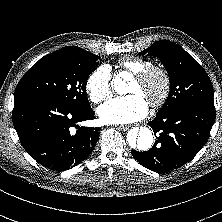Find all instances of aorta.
Listing matches in <instances>:
<instances>
[{
  "mask_svg": "<svg viewBox=\"0 0 222 222\" xmlns=\"http://www.w3.org/2000/svg\"><path fill=\"white\" fill-rule=\"evenodd\" d=\"M131 79L128 72H121L112 81L115 91L118 94L128 93L126 81ZM154 141L152 131L147 127L133 128L127 133V142L129 146L137 151H146L151 148Z\"/></svg>",
  "mask_w": 222,
  "mask_h": 222,
  "instance_id": "762f6f07",
  "label": "aorta"
}]
</instances>
